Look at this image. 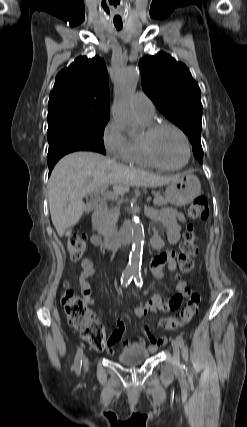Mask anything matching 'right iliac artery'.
Listing matches in <instances>:
<instances>
[{
	"label": "right iliac artery",
	"mask_w": 247,
	"mask_h": 427,
	"mask_svg": "<svg viewBox=\"0 0 247 427\" xmlns=\"http://www.w3.org/2000/svg\"><path fill=\"white\" fill-rule=\"evenodd\" d=\"M133 278V275L131 274H123L121 277V285L123 287H127V285L131 282ZM82 357H83V350L82 348H78V351L76 353L75 363H74V369L77 374H80L81 365H82Z\"/></svg>",
	"instance_id": "82829eb1"
}]
</instances>
